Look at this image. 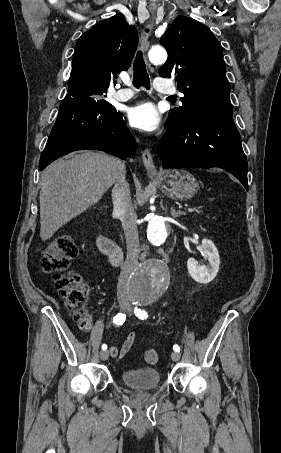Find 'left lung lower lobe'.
<instances>
[{"mask_svg": "<svg viewBox=\"0 0 281 453\" xmlns=\"http://www.w3.org/2000/svg\"><path fill=\"white\" fill-rule=\"evenodd\" d=\"M157 152L166 168L219 167L248 190L247 160L232 111L194 115L168 127Z\"/></svg>", "mask_w": 281, "mask_h": 453, "instance_id": "0a47b994", "label": "left lung lower lobe"}]
</instances>
